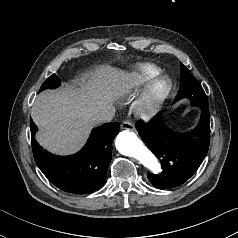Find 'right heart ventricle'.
Returning <instances> with one entry per match:
<instances>
[{
  "label": "right heart ventricle",
  "instance_id": "obj_1",
  "mask_svg": "<svg viewBox=\"0 0 238 238\" xmlns=\"http://www.w3.org/2000/svg\"><path fill=\"white\" fill-rule=\"evenodd\" d=\"M159 73V69L150 63L141 64L128 81L131 90H137Z\"/></svg>",
  "mask_w": 238,
  "mask_h": 238
}]
</instances>
